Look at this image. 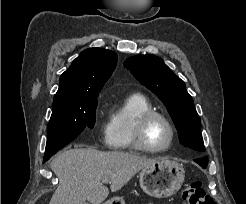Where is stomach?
<instances>
[{"instance_id": "0dacf381", "label": "stomach", "mask_w": 246, "mask_h": 204, "mask_svg": "<svg viewBox=\"0 0 246 204\" xmlns=\"http://www.w3.org/2000/svg\"><path fill=\"white\" fill-rule=\"evenodd\" d=\"M185 171L178 162L160 159L140 173V186L149 196L165 198L174 195L182 186ZM105 204H125L122 197L115 196Z\"/></svg>"}]
</instances>
